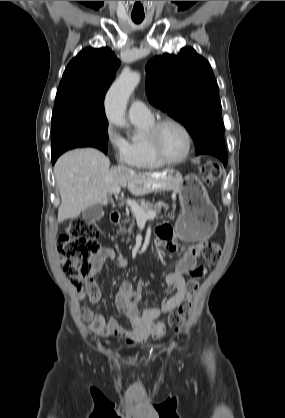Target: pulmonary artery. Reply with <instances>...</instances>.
I'll return each instance as SVG.
<instances>
[{
	"instance_id": "e3ab8cb5",
	"label": "pulmonary artery",
	"mask_w": 285,
	"mask_h": 418,
	"mask_svg": "<svg viewBox=\"0 0 285 418\" xmlns=\"http://www.w3.org/2000/svg\"><path fill=\"white\" fill-rule=\"evenodd\" d=\"M128 114L132 121H151L153 119L150 109L140 100L131 103Z\"/></svg>"
}]
</instances>
